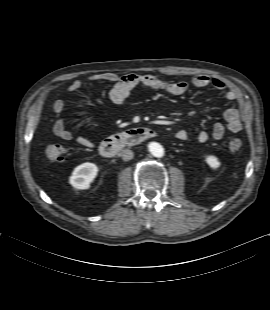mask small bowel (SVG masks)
Here are the masks:
<instances>
[{"label": "small bowel", "instance_id": "1", "mask_svg": "<svg viewBox=\"0 0 270 310\" xmlns=\"http://www.w3.org/2000/svg\"><path fill=\"white\" fill-rule=\"evenodd\" d=\"M92 82H110L113 83V87L110 90V99L116 103H123L131 94L132 90L138 86H145L151 89L162 90L172 95H182L186 93L191 86L196 88H205L207 86H213L217 90H226L225 98L229 101H237L240 99V93L234 88H228L227 84L219 78H211L208 75H197L191 82L188 81H176L167 82L161 80L153 75H138L127 74L119 76L112 72L100 73L92 75L88 78ZM84 84V80L78 79L70 84L68 92L72 93L78 91ZM65 108V102L62 99L56 100L52 105V110L56 115H60ZM226 126L222 123H215L211 130V136L219 140L221 139L226 129L231 133H238L242 130L241 114L236 108H229L224 113ZM54 134L63 141H71L74 137L72 132L66 128L61 118H56L53 123ZM175 137L180 141H185L189 138L187 131L178 130ZM209 134L206 131H199L197 134V140L200 143H204L208 140ZM76 143L84 148L92 149L95 147L93 141L86 137L79 136L76 139Z\"/></svg>", "mask_w": 270, "mask_h": 310}]
</instances>
